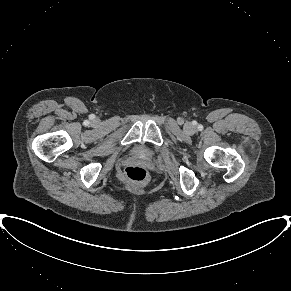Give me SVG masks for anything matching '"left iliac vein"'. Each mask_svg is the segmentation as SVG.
I'll return each mask as SVG.
<instances>
[{
	"label": "left iliac vein",
	"instance_id": "left-iliac-vein-1",
	"mask_svg": "<svg viewBox=\"0 0 291 291\" xmlns=\"http://www.w3.org/2000/svg\"><path fill=\"white\" fill-rule=\"evenodd\" d=\"M185 130L188 132V133H192L194 132V126L190 123L186 124L185 126Z\"/></svg>",
	"mask_w": 291,
	"mask_h": 291
}]
</instances>
